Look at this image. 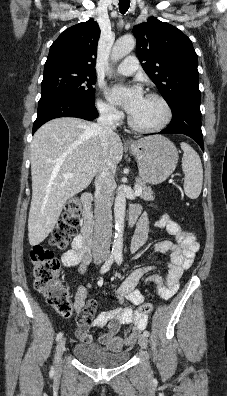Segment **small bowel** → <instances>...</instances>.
<instances>
[{"mask_svg": "<svg viewBox=\"0 0 227 396\" xmlns=\"http://www.w3.org/2000/svg\"><path fill=\"white\" fill-rule=\"evenodd\" d=\"M137 213L138 210L133 209L132 216L136 217ZM156 226L172 236L174 242L162 240L155 244L156 252L169 256V270L166 276L153 274L147 278V281L155 285L158 295L169 298L177 292L180 279L184 272L191 267L200 245L193 232L183 230L167 214H164L158 220ZM150 231V220L146 215H142L138 220L132 239V252H138L147 243ZM61 261L65 267L78 266L81 273L85 271L91 262V253L80 235L74 238L71 249L62 255ZM153 267V264H147L133 270L117 287L115 291L117 301L120 303L128 301L134 306L143 304L145 297L136 286L143 275L151 271ZM86 298L87 288L80 286L75 292L73 306L75 311L79 313L75 335L82 342L93 341V336L90 333L91 327H106V332L98 337V341L111 351H120L123 347L134 343L138 334L147 326V314L140 312L133 306L102 311L95 316L96 303L90 301L86 305ZM124 324H132V329L121 336L119 332Z\"/></svg>", "mask_w": 227, "mask_h": 396, "instance_id": "obj_1", "label": "small bowel"}]
</instances>
